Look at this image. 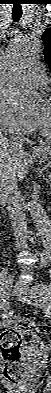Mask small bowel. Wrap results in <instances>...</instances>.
<instances>
[{"instance_id":"1","label":"small bowel","mask_w":51,"mask_h":393,"mask_svg":"<svg viewBox=\"0 0 51 393\" xmlns=\"http://www.w3.org/2000/svg\"><path fill=\"white\" fill-rule=\"evenodd\" d=\"M7 324V320H3V325L5 326Z\"/></svg>"}]
</instances>
